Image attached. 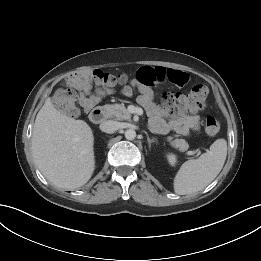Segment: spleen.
Listing matches in <instances>:
<instances>
[{
	"label": "spleen",
	"mask_w": 261,
	"mask_h": 261,
	"mask_svg": "<svg viewBox=\"0 0 261 261\" xmlns=\"http://www.w3.org/2000/svg\"><path fill=\"white\" fill-rule=\"evenodd\" d=\"M226 156L227 141L217 139L199 158L184 162L174 178L175 193L186 195L203 190L220 173Z\"/></svg>",
	"instance_id": "spleen-1"
}]
</instances>
